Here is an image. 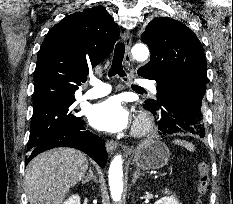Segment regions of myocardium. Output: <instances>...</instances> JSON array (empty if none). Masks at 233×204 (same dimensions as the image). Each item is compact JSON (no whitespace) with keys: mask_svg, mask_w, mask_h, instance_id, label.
Returning a JSON list of instances; mask_svg holds the SVG:
<instances>
[{"mask_svg":"<svg viewBox=\"0 0 233 204\" xmlns=\"http://www.w3.org/2000/svg\"><path fill=\"white\" fill-rule=\"evenodd\" d=\"M151 127H152L151 119L148 116L142 114L136 120L133 133L136 136H142L148 133Z\"/></svg>","mask_w":233,"mask_h":204,"instance_id":"obj_1","label":"myocardium"}]
</instances>
